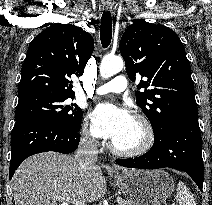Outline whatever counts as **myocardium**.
<instances>
[{"mask_svg": "<svg viewBox=\"0 0 212 205\" xmlns=\"http://www.w3.org/2000/svg\"><path fill=\"white\" fill-rule=\"evenodd\" d=\"M142 128L143 138L142 141L134 148L122 149L117 147L113 141L110 143V150L122 157H138L146 154L154 145L155 142V132L154 128L147 117L141 114H136L133 117Z\"/></svg>", "mask_w": 212, "mask_h": 205, "instance_id": "1", "label": "myocardium"}]
</instances>
